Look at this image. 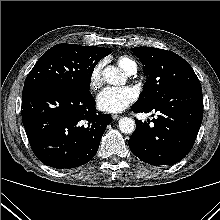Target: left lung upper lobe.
I'll return each mask as SVG.
<instances>
[{"mask_svg": "<svg viewBox=\"0 0 220 220\" xmlns=\"http://www.w3.org/2000/svg\"><path fill=\"white\" fill-rule=\"evenodd\" d=\"M144 65L148 80L135 104L151 105L171 92L201 85L192 67L174 52L153 48L131 49Z\"/></svg>", "mask_w": 220, "mask_h": 220, "instance_id": "5c2ea615", "label": "left lung upper lobe"}]
</instances>
